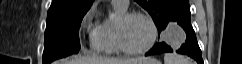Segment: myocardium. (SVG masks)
I'll list each match as a JSON object with an SVG mask.
<instances>
[{
  "label": "myocardium",
  "instance_id": "obj_1",
  "mask_svg": "<svg viewBox=\"0 0 242 64\" xmlns=\"http://www.w3.org/2000/svg\"><path fill=\"white\" fill-rule=\"evenodd\" d=\"M132 18H142L144 20H146L151 28V36L150 39L148 41V43L139 49H133L130 48L129 46H127V44L124 41L123 38V33H122V26H123V22L130 20ZM157 34H158V30H157V26L154 22V20L152 19L151 16H149L146 13L143 12H125L124 14H122L117 21V27H116V35H117V43L119 46V49L129 55H140V54H144L146 52H148L155 44L156 39H157Z\"/></svg>",
  "mask_w": 242,
  "mask_h": 64
}]
</instances>
